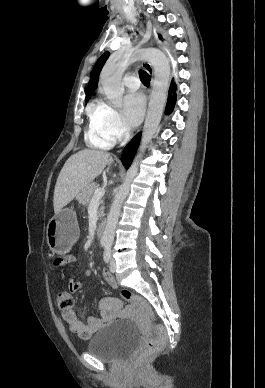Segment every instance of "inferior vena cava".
Returning <instances> with one entry per match:
<instances>
[{
    "label": "inferior vena cava",
    "mask_w": 265,
    "mask_h": 388,
    "mask_svg": "<svg viewBox=\"0 0 265 388\" xmlns=\"http://www.w3.org/2000/svg\"><path fill=\"white\" fill-rule=\"evenodd\" d=\"M130 138V128L128 126V128H125V136H124V140L121 144V146H125V144H127L128 140Z\"/></svg>",
    "instance_id": "obj_1"
}]
</instances>
